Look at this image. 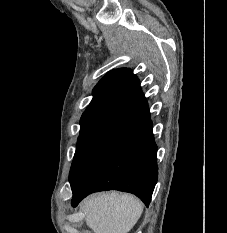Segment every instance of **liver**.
<instances>
[{
  "label": "liver",
  "instance_id": "liver-1",
  "mask_svg": "<svg viewBox=\"0 0 227 233\" xmlns=\"http://www.w3.org/2000/svg\"><path fill=\"white\" fill-rule=\"evenodd\" d=\"M93 233H128L143 212L142 202L131 194H94L81 205Z\"/></svg>",
  "mask_w": 227,
  "mask_h": 233
}]
</instances>
